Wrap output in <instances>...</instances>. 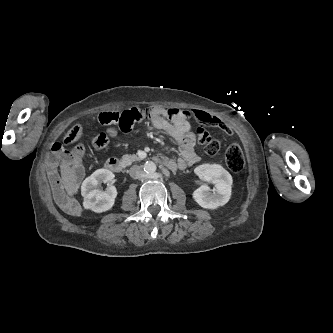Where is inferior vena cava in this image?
Segmentation results:
<instances>
[{
  "mask_svg": "<svg viewBox=\"0 0 333 333\" xmlns=\"http://www.w3.org/2000/svg\"><path fill=\"white\" fill-rule=\"evenodd\" d=\"M143 173V170L140 166L134 165L130 168L129 174L132 178L138 179Z\"/></svg>",
  "mask_w": 333,
  "mask_h": 333,
  "instance_id": "602c4592",
  "label": "inferior vena cava"
}]
</instances>
